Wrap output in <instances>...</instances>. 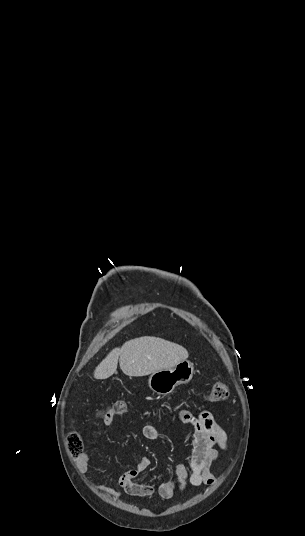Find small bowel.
I'll return each mask as SVG.
<instances>
[{"label": "small bowel", "instance_id": "1", "mask_svg": "<svg viewBox=\"0 0 305 536\" xmlns=\"http://www.w3.org/2000/svg\"><path fill=\"white\" fill-rule=\"evenodd\" d=\"M179 418L191 426V445L192 457L190 461V470L182 463H175L174 469L176 478L162 483L158 489L151 484L138 483L135 480L140 477L151 466V459L143 456L139 459L137 465L124 472L118 479L117 484L124 492L130 496L148 497L154 495L157 491L161 498L172 499L176 491L183 492L188 484L193 486L210 485L214 477L211 472V466L218 457V449L226 450L227 434L220 425L215 416L208 410H202L197 414L181 410ZM113 422L108 417L103 425L108 427ZM142 434L149 440L161 439L160 429L151 424H146L142 429ZM91 454L89 452L81 453L79 457L80 470L83 473L91 472ZM97 491L104 493L113 498H119L121 493L113 487L91 483Z\"/></svg>", "mask_w": 305, "mask_h": 536}]
</instances>
